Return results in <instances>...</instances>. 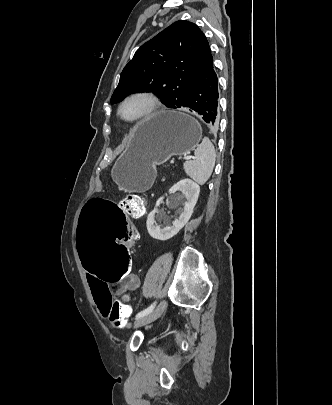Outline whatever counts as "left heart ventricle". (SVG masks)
<instances>
[{
	"label": "left heart ventricle",
	"instance_id": "left-heart-ventricle-1",
	"mask_svg": "<svg viewBox=\"0 0 332 405\" xmlns=\"http://www.w3.org/2000/svg\"><path fill=\"white\" fill-rule=\"evenodd\" d=\"M146 108L147 102L145 100L133 99L124 105L122 114L125 118H134L142 114Z\"/></svg>",
	"mask_w": 332,
	"mask_h": 405
}]
</instances>
